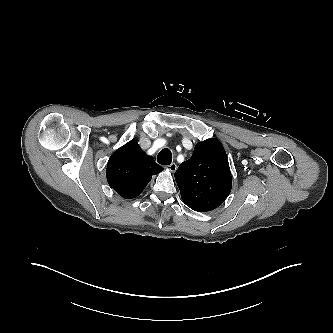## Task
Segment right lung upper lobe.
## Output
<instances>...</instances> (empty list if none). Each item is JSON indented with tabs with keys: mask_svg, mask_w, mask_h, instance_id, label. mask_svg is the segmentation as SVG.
I'll return each instance as SVG.
<instances>
[{
	"mask_svg": "<svg viewBox=\"0 0 333 333\" xmlns=\"http://www.w3.org/2000/svg\"><path fill=\"white\" fill-rule=\"evenodd\" d=\"M163 170L147 155L136 140L116 150L108 160L106 176L109 185L123 198L137 197L150 182L152 175Z\"/></svg>",
	"mask_w": 333,
	"mask_h": 333,
	"instance_id": "1",
	"label": "right lung upper lobe"
}]
</instances>
